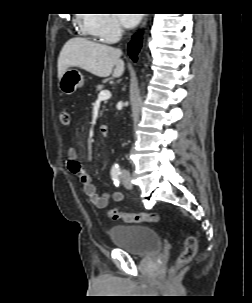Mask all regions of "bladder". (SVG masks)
<instances>
[{
  "mask_svg": "<svg viewBox=\"0 0 252 303\" xmlns=\"http://www.w3.org/2000/svg\"><path fill=\"white\" fill-rule=\"evenodd\" d=\"M112 243L135 257H146L161 251V238L150 226L119 224L110 228Z\"/></svg>",
  "mask_w": 252,
  "mask_h": 303,
  "instance_id": "31cf9c89",
  "label": "bladder"
}]
</instances>
